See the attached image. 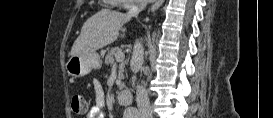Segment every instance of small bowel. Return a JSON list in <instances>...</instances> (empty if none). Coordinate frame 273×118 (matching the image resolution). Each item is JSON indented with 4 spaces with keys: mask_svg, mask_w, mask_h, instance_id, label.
Wrapping results in <instances>:
<instances>
[{
    "mask_svg": "<svg viewBox=\"0 0 273 118\" xmlns=\"http://www.w3.org/2000/svg\"><path fill=\"white\" fill-rule=\"evenodd\" d=\"M95 105L89 110L87 118H104L105 93L99 82H94Z\"/></svg>",
    "mask_w": 273,
    "mask_h": 118,
    "instance_id": "obj_1",
    "label": "small bowel"
}]
</instances>
